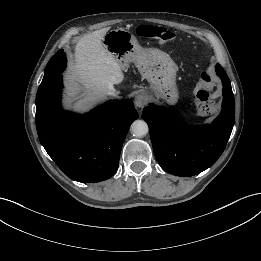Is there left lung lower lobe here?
I'll return each mask as SVG.
<instances>
[{
	"instance_id": "1",
	"label": "left lung lower lobe",
	"mask_w": 261,
	"mask_h": 261,
	"mask_svg": "<svg viewBox=\"0 0 261 261\" xmlns=\"http://www.w3.org/2000/svg\"><path fill=\"white\" fill-rule=\"evenodd\" d=\"M216 73L223 83L224 98L222 111L211 125H187L168 109L153 104L143 110L155 157L170 174L196 175L212 166L225 149L234 125L235 101L230 80L220 64Z\"/></svg>"
}]
</instances>
